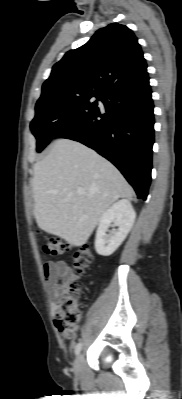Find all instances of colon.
I'll return each mask as SVG.
<instances>
[{"label":"colon","mask_w":182,"mask_h":399,"mask_svg":"<svg viewBox=\"0 0 182 399\" xmlns=\"http://www.w3.org/2000/svg\"><path fill=\"white\" fill-rule=\"evenodd\" d=\"M43 249L46 253L54 256L62 255L69 249V244L62 238L47 236L44 238ZM92 261L93 255L86 246L80 248L72 259L73 267L79 274L85 272L92 264ZM80 294L79 285H72L56 307V325L66 337L74 336L81 320V311L79 309Z\"/></svg>","instance_id":"colon-1"}]
</instances>
